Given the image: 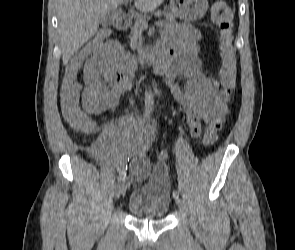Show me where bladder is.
Returning a JSON list of instances; mask_svg holds the SVG:
<instances>
[{
	"instance_id": "obj_1",
	"label": "bladder",
	"mask_w": 295,
	"mask_h": 250,
	"mask_svg": "<svg viewBox=\"0 0 295 250\" xmlns=\"http://www.w3.org/2000/svg\"><path fill=\"white\" fill-rule=\"evenodd\" d=\"M170 206V181L163 165L151 169L150 178L131 190L127 202L133 217L146 220L163 219Z\"/></svg>"
}]
</instances>
